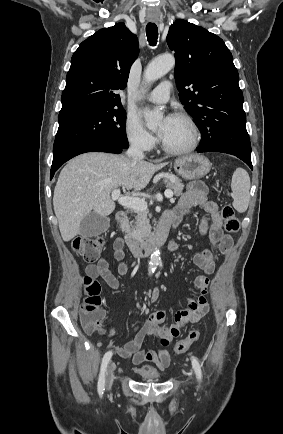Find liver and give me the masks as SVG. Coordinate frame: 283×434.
Wrapping results in <instances>:
<instances>
[{"instance_id":"obj_1","label":"liver","mask_w":283,"mask_h":434,"mask_svg":"<svg viewBox=\"0 0 283 434\" xmlns=\"http://www.w3.org/2000/svg\"><path fill=\"white\" fill-rule=\"evenodd\" d=\"M166 163L133 161L125 155L91 152L79 155L61 170L53 195L62 239L79 234L81 221L92 211L107 217L115 209L111 192L119 187L140 191Z\"/></svg>"}]
</instances>
